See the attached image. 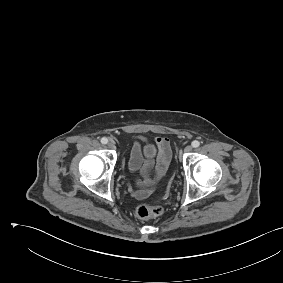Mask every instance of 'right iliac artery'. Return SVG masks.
Masks as SVG:
<instances>
[{"label": "right iliac artery", "instance_id": "obj_1", "mask_svg": "<svg viewBox=\"0 0 283 283\" xmlns=\"http://www.w3.org/2000/svg\"><path fill=\"white\" fill-rule=\"evenodd\" d=\"M101 143H102V144H107V143H108V139H107L106 137H103V138L101 139Z\"/></svg>", "mask_w": 283, "mask_h": 283}]
</instances>
